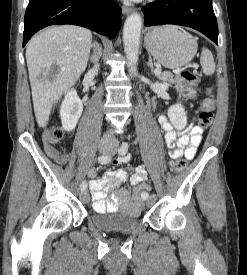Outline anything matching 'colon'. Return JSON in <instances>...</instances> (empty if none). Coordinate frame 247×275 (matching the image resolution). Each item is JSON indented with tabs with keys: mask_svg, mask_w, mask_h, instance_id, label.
I'll return each instance as SVG.
<instances>
[{
	"mask_svg": "<svg viewBox=\"0 0 247 275\" xmlns=\"http://www.w3.org/2000/svg\"><path fill=\"white\" fill-rule=\"evenodd\" d=\"M200 82L199 75L191 70L182 69L178 73L177 89L180 93L187 97L193 98L196 94V86ZM210 93V91H209ZM215 108L214 98L209 95L206 97L200 106V112L198 116V123L202 128H208L213 120V112ZM64 133L60 128H55L46 132L44 141L46 144L53 145L62 141ZM187 162L185 159H178L172 163L171 168L174 173H180L186 167ZM146 184H141L133 188V195L141 198L147 190Z\"/></svg>",
	"mask_w": 247,
	"mask_h": 275,
	"instance_id": "5ec220e1",
	"label": "colon"
}]
</instances>
